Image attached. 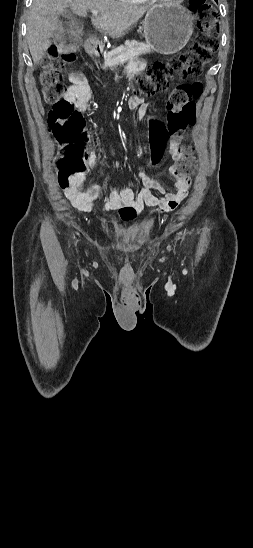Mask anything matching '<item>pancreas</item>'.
I'll return each mask as SVG.
<instances>
[{
    "label": "pancreas",
    "mask_w": 253,
    "mask_h": 548,
    "mask_svg": "<svg viewBox=\"0 0 253 548\" xmlns=\"http://www.w3.org/2000/svg\"><path fill=\"white\" fill-rule=\"evenodd\" d=\"M152 48L144 43L131 42L104 54L103 69L114 68L125 61H137L140 55L149 54Z\"/></svg>",
    "instance_id": "cf45deb5"
}]
</instances>
